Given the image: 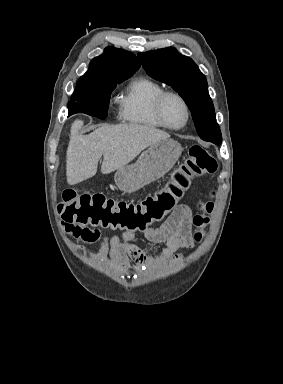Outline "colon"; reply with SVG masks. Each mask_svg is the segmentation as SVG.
I'll return each instance as SVG.
<instances>
[{
	"mask_svg": "<svg viewBox=\"0 0 283 384\" xmlns=\"http://www.w3.org/2000/svg\"><path fill=\"white\" fill-rule=\"evenodd\" d=\"M216 169L217 162L213 155L203 146L194 145L189 149L185 164L175 172L166 187L139 202L118 201L100 193L67 189L62 193L58 212L66 226L90 225L134 233L145 232L176 207L192 178L212 174ZM213 207L210 197L199 204V213L193 218L194 225L200 229L195 234L196 241L201 240V229L209 222Z\"/></svg>",
	"mask_w": 283,
	"mask_h": 384,
	"instance_id": "colon-1",
	"label": "colon"
}]
</instances>
